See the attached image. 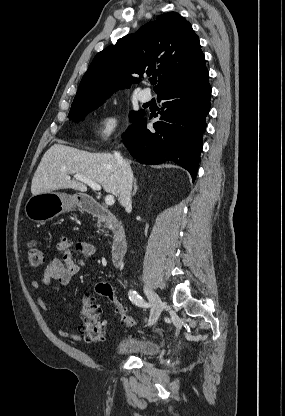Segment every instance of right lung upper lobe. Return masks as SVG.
<instances>
[{
    "mask_svg": "<svg viewBox=\"0 0 285 416\" xmlns=\"http://www.w3.org/2000/svg\"><path fill=\"white\" fill-rule=\"evenodd\" d=\"M158 75L157 95L208 73L199 38L177 12L164 13L135 34L99 52L84 74L71 109L104 100L140 79L130 74Z\"/></svg>",
    "mask_w": 285,
    "mask_h": 416,
    "instance_id": "obj_1",
    "label": "right lung upper lobe"
}]
</instances>
